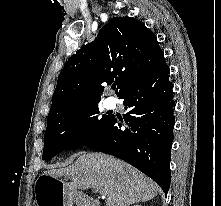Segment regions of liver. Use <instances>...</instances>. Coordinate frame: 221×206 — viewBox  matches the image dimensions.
<instances>
[{"label": "liver", "instance_id": "liver-1", "mask_svg": "<svg viewBox=\"0 0 221 206\" xmlns=\"http://www.w3.org/2000/svg\"><path fill=\"white\" fill-rule=\"evenodd\" d=\"M44 174L65 177L75 189L93 188L107 195L106 206H130L149 201L158 192L150 178L128 163L103 153L81 152L72 165Z\"/></svg>", "mask_w": 221, "mask_h": 206}]
</instances>
